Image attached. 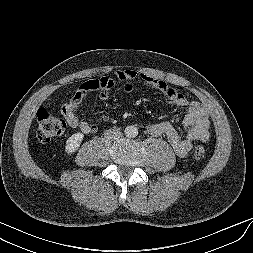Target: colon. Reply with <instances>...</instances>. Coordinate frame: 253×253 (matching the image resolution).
<instances>
[{"label":"colon","mask_w":253,"mask_h":253,"mask_svg":"<svg viewBox=\"0 0 253 253\" xmlns=\"http://www.w3.org/2000/svg\"><path fill=\"white\" fill-rule=\"evenodd\" d=\"M37 139L40 143H48L51 140L62 136L67 128L66 122L52 114L45 108H40L37 112ZM205 155V149L201 146L195 147L193 157L201 160Z\"/></svg>","instance_id":"colon-1"}]
</instances>
